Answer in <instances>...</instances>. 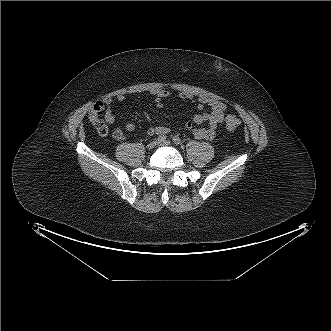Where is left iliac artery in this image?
Here are the masks:
<instances>
[{
	"instance_id": "1",
	"label": "left iliac artery",
	"mask_w": 331,
	"mask_h": 331,
	"mask_svg": "<svg viewBox=\"0 0 331 331\" xmlns=\"http://www.w3.org/2000/svg\"><path fill=\"white\" fill-rule=\"evenodd\" d=\"M173 142L176 145H180L181 144V139L178 136H174L173 137Z\"/></svg>"
}]
</instances>
